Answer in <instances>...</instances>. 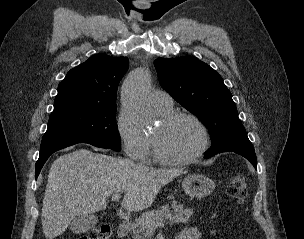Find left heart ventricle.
I'll use <instances>...</instances> for the list:
<instances>
[{"mask_svg":"<svg viewBox=\"0 0 304 239\" xmlns=\"http://www.w3.org/2000/svg\"><path fill=\"white\" fill-rule=\"evenodd\" d=\"M159 151L166 157L184 158L195 153L202 142L198 126L187 118H181L167 127L162 123L154 130Z\"/></svg>","mask_w":304,"mask_h":239,"instance_id":"b2bd125f","label":"left heart ventricle"}]
</instances>
